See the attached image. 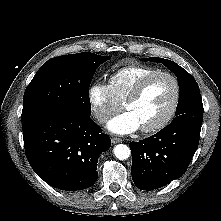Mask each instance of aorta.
I'll return each instance as SVG.
<instances>
[{
  "label": "aorta",
  "instance_id": "1",
  "mask_svg": "<svg viewBox=\"0 0 221 221\" xmlns=\"http://www.w3.org/2000/svg\"><path fill=\"white\" fill-rule=\"evenodd\" d=\"M114 155L119 160H126L129 158L131 151L130 148L125 144H118L113 149Z\"/></svg>",
  "mask_w": 221,
  "mask_h": 221
}]
</instances>
